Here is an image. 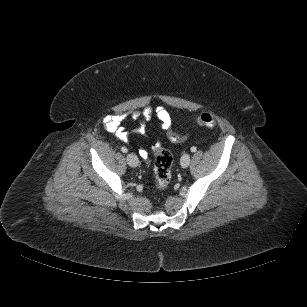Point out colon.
<instances>
[{"label": "colon", "mask_w": 307, "mask_h": 307, "mask_svg": "<svg viewBox=\"0 0 307 307\" xmlns=\"http://www.w3.org/2000/svg\"><path fill=\"white\" fill-rule=\"evenodd\" d=\"M197 124L199 126L213 128L217 125V121L213 115L203 113L197 118ZM167 136L172 142H181L187 137L186 135H178L171 129L167 132ZM154 153V179L157 187L163 189L168 186L171 180L173 157L171 152L163 147H156Z\"/></svg>", "instance_id": "colon-1"}]
</instances>
